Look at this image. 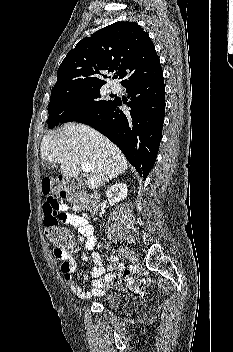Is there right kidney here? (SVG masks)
Instances as JSON below:
<instances>
[{
    "label": "right kidney",
    "mask_w": 233,
    "mask_h": 352,
    "mask_svg": "<svg viewBox=\"0 0 233 352\" xmlns=\"http://www.w3.org/2000/svg\"><path fill=\"white\" fill-rule=\"evenodd\" d=\"M128 187L125 183H116L112 185L106 192V196L111 206L124 200L127 196Z\"/></svg>",
    "instance_id": "right-kidney-1"
}]
</instances>
